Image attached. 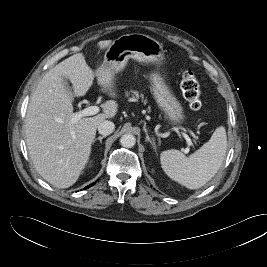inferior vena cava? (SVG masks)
Masks as SVG:
<instances>
[{"label":"inferior vena cava","instance_id":"1","mask_svg":"<svg viewBox=\"0 0 267 267\" xmlns=\"http://www.w3.org/2000/svg\"><path fill=\"white\" fill-rule=\"evenodd\" d=\"M115 129V125L113 122L105 120L98 126V132L103 135L107 136L110 135Z\"/></svg>","mask_w":267,"mask_h":267}]
</instances>
